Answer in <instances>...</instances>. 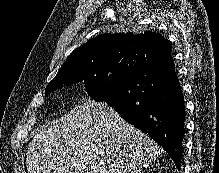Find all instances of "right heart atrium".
<instances>
[{"instance_id":"right-heart-atrium-1","label":"right heart atrium","mask_w":219,"mask_h":173,"mask_svg":"<svg viewBox=\"0 0 219 173\" xmlns=\"http://www.w3.org/2000/svg\"><path fill=\"white\" fill-rule=\"evenodd\" d=\"M78 101H79L80 103H84V102L87 101V99H86L85 97H79Z\"/></svg>"}]
</instances>
